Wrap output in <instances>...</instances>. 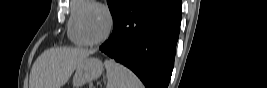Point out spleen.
<instances>
[{
    "instance_id": "1",
    "label": "spleen",
    "mask_w": 267,
    "mask_h": 88,
    "mask_svg": "<svg viewBox=\"0 0 267 88\" xmlns=\"http://www.w3.org/2000/svg\"><path fill=\"white\" fill-rule=\"evenodd\" d=\"M106 88H144L140 79L128 68L112 59L105 60Z\"/></svg>"
}]
</instances>
